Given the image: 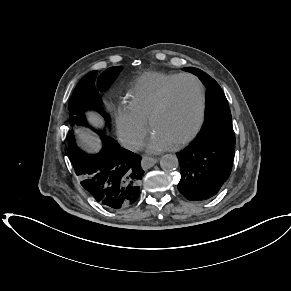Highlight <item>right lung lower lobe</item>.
<instances>
[{"instance_id":"98d812e1","label":"right lung lower lobe","mask_w":291,"mask_h":291,"mask_svg":"<svg viewBox=\"0 0 291 291\" xmlns=\"http://www.w3.org/2000/svg\"><path fill=\"white\" fill-rule=\"evenodd\" d=\"M103 149L89 155L76 145L68 149L81 185L106 208L120 209L134 204L140 196L144 174L141 157L126 150L112 138L102 135Z\"/></svg>"}]
</instances>
